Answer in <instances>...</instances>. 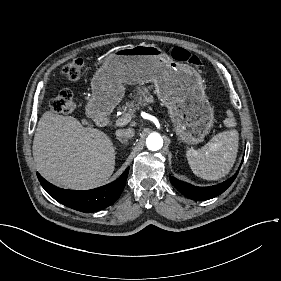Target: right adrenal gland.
<instances>
[{
  "label": "right adrenal gland",
  "instance_id": "2a0ac1e0",
  "mask_svg": "<svg viewBox=\"0 0 281 281\" xmlns=\"http://www.w3.org/2000/svg\"><path fill=\"white\" fill-rule=\"evenodd\" d=\"M117 140L122 143V144H127V140L126 139H121V138H117Z\"/></svg>",
  "mask_w": 281,
  "mask_h": 281
}]
</instances>
